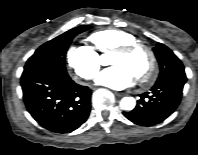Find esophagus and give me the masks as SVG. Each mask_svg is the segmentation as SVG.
<instances>
[{"label": "esophagus", "mask_w": 198, "mask_h": 155, "mask_svg": "<svg viewBox=\"0 0 198 155\" xmlns=\"http://www.w3.org/2000/svg\"><path fill=\"white\" fill-rule=\"evenodd\" d=\"M115 95L118 97H123V96H125V93L115 92Z\"/></svg>", "instance_id": "obj_1"}]
</instances>
